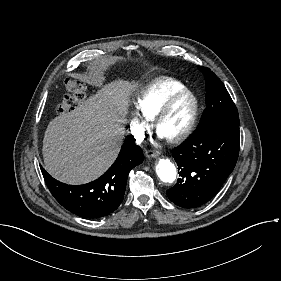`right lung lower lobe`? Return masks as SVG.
<instances>
[{"label":"right lung lower lobe","instance_id":"obj_1","mask_svg":"<svg viewBox=\"0 0 281 281\" xmlns=\"http://www.w3.org/2000/svg\"><path fill=\"white\" fill-rule=\"evenodd\" d=\"M142 150L133 142L122 146L114 164L97 180L83 185H67L41 168L55 199L67 210L85 218L107 216L121 204L131 169L143 162Z\"/></svg>","mask_w":281,"mask_h":281}]
</instances>
